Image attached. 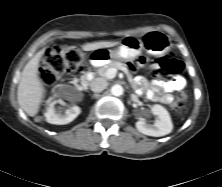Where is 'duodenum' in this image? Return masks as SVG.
Returning <instances> with one entry per match:
<instances>
[{"mask_svg":"<svg viewBox=\"0 0 222 187\" xmlns=\"http://www.w3.org/2000/svg\"><path fill=\"white\" fill-rule=\"evenodd\" d=\"M93 77V72L91 70H87L83 75H82V84L87 83L90 81Z\"/></svg>","mask_w":222,"mask_h":187,"instance_id":"duodenum-1","label":"duodenum"}]
</instances>
